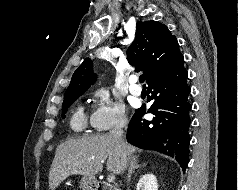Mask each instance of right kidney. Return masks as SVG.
<instances>
[{"label": "right kidney", "instance_id": "right-kidney-1", "mask_svg": "<svg viewBox=\"0 0 238 190\" xmlns=\"http://www.w3.org/2000/svg\"><path fill=\"white\" fill-rule=\"evenodd\" d=\"M136 190H158V183L155 175H143L137 184Z\"/></svg>", "mask_w": 238, "mask_h": 190}]
</instances>
